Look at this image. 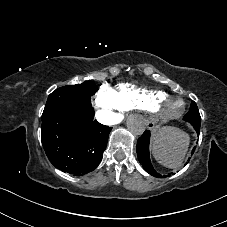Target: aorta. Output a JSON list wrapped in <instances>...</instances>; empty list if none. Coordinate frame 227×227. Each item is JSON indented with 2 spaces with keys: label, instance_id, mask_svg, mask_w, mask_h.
<instances>
[{
  "label": "aorta",
  "instance_id": "762f6f07",
  "mask_svg": "<svg viewBox=\"0 0 227 227\" xmlns=\"http://www.w3.org/2000/svg\"><path fill=\"white\" fill-rule=\"evenodd\" d=\"M127 128L132 134L139 136L146 128V122L141 116L132 115L127 120Z\"/></svg>",
  "mask_w": 227,
  "mask_h": 227
}]
</instances>
